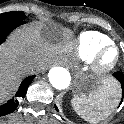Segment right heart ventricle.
I'll use <instances>...</instances> for the list:
<instances>
[{
  "label": "right heart ventricle",
  "mask_w": 124,
  "mask_h": 124,
  "mask_svg": "<svg viewBox=\"0 0 124 124\" xmlns=\"http://www.w3.org/2000/svg\"><path fill=\"white\" fill-rule=\"evenodd\" d=\"M111 38L99 31H84L71 42V50L80 60L89 62L102 46L111 43Z\"/></svg>",
  "instance_id": "1"
}]
</instances>
